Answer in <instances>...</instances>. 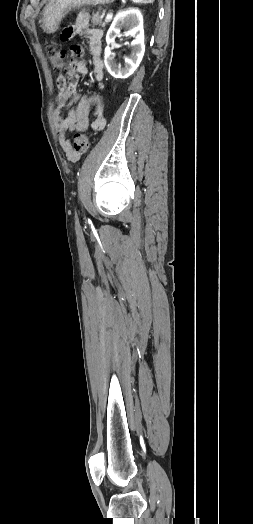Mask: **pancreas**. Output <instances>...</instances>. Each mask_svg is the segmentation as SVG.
Here are the masks:
<instances>
[{"label": "pancreas", "mask_w": 253, "mask_h": 524, "mask_svg": "<svg viewBox=\"0 0 253 524\" xmlns=\"http://www.w3.org/2000/svg\"><path fill=\"white\" fill-rule=\"evenodd\" d=\"M92 23L94 25L105 27V25L108 23V21H103V16L100 11L94 12L92 14Z\"/></svg>", "instance_id": "pancreas-1"}]
</instances>
